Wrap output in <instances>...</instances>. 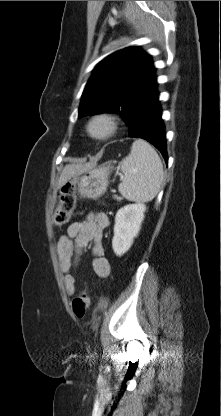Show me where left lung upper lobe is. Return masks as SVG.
I'll return each instance as SVG.
<instances>
[{
  "label": "left lung upper lobe",
  "instance_id": "5c2ea615",
  "mask_svg": "<svg viewBox=\"0 0 221 416\" xmlns=\"http://www.w3.org/2000/svg\"><path fill=\"white\" fill-rule=\"evenodd\" d=\"M150 55L138 47L117 51L94 69L78 117L103 112L121 115L129 127L138 104L157 86Z\"/></svg>",
  "mask_w": 221,
  "mask_h": 416
}]
</instances>
